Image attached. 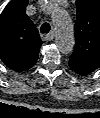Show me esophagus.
I'll use <instances>...</instances> for the list:
<instances>
[{"label": "esophagus", "instance_id": "obj_1", "mask_svg": "<svg viewBox=\"0 0 100 118\" xmlns=\"http://www.w3.org/2000/svg\"><path fill=\"white\" fill-rule=\"evenodd\" d=\"M41 37L45 41H52L54 39V37H55V33L51 32L49 34H43Z\"/></svg>", "mask_w": 100, "mask_h": 118}]
</instances>
